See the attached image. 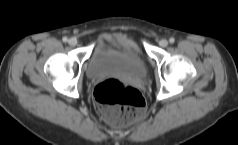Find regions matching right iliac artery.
Returning <instances> with one entry per match:
<instances>
[{"instance_id":"obj_1","label":"right iliac artery","mask_w":238,"mask_h":145,"mask_svg":"<svg viewBox=\"0 0 238 145\" xmlns=\"http://www.w3.org/2000/svg\"><path fill=\"white\" fill-rule=\"evenodd\" d=\"M62 40H63V42H67L68 38L67 37H63Z\"/></svg>"}]
</instances>
